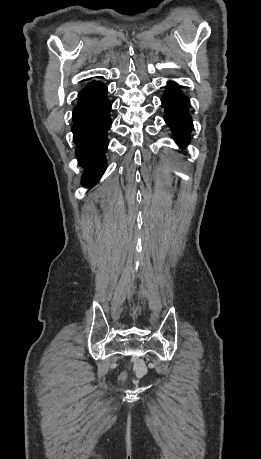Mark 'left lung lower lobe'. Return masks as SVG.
I'll return each instance as SVG.
<instances>
[{"label":"left lung lower lobe","instance_id":"0a47b994","mask_svg":"<svg viewBox=\"0 0 261 459\" xmlns=\"http://www.w3.org/2000/svg\"><path fill=\"white\" fill-rule=\"evenodd\" d=\"M161 101L165 107V121L172 129L175 140L180 146H185L189 142L188 134L193 129L192 119L187 113L189 99L176 83L169 82Z\"/></svg>","mask_w":261,"mask_h":459}]
</instances>
